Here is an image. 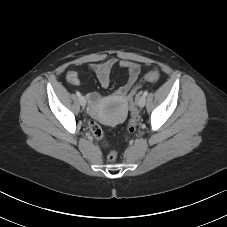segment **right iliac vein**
<instances>
[{"label": "right iliac vein", "instance_id": "63e3f726", "mask_svg": "<svg viewBox=\"0 0 227 227\" xmlns=\"http://www.w3.org/2000/svg\"><path fill=\"white\" fill-rule=\"evenodd\" d=\"M79 103H80V105L83 106V107L86 105V99H85L84 96H80V97H79Z\"/></svg>", "mask_w": 227, "mask_h": 227}]
</instances>
